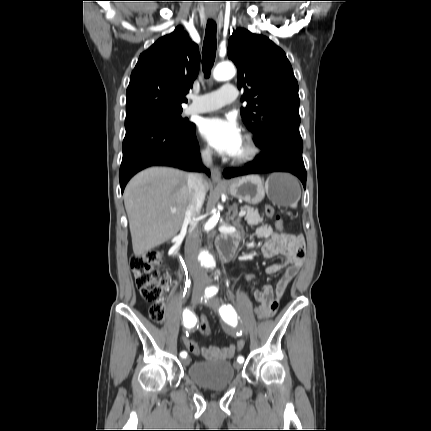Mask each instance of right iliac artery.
Wrapping results in <instances>:
<instances>
[{
	"label": "right iliac artery",
	"instance_id": "1",
	"mask_svg": "<svg viewBox=\"0 0 431 431\" xmlns=\"http://www.w3.org/2000/svg\"><path fill=\"white\" fill-rule=\"evenodd\" d=\"M211 292H212L211 288L206 289V291H205V297L209 298L211 296ZM183 323H184V326L186 328H192L196 324V318H195V316L193 315L192 311L189 308H186L183 311ZM180 356L182 358H186L187 353L185 351H182L180 353Z\"/></svg>",
	"mask_w": 431,
	"mask_h": 431
}]
</instances>
